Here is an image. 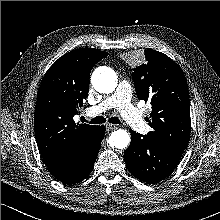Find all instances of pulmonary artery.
<instances>
[{
    "mask_svg": "<svg viewBox=\"0 0 220 220\" xmlns=\"http://www.w3.org/2000/svg\"><path fill=\"white\" fill-rule=\"evenodd\" d=\"M111 108H117L124 120L136 131H148V125L139 109L131 103V89L127 81L121 80L116 90L100 103L88 108L90 115L103 113Z\"/></svg>",
    "mask_w": 220,
    "mask_h": 220,
    "instance_id": "1",
    "label": "pulmonary artery"
}]
</instances>
